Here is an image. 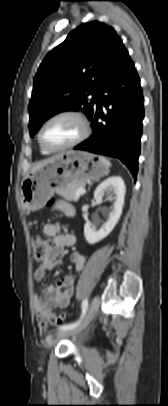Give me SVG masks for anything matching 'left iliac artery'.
Here are the masks:
<instances>
[{
    "instance_id": "obj_1",
    "label": "left iliac artery",
    "mask_w": 168,
    "mask_h": 406,
    "mask_svg": "<svg viewBox=\"0 0 168 406\" xmlns=\"http://www.w3.org/2000/svg\"><path fill=\"white\" fill-rule=\"evenodd\" d=\"M88 308V299H84L82 302V315L80 317V319L74 323H69V324H65L59 327V330H68V329H73L74 327H76L77 325H79V323L81 322V320L83 319L86 311Z\"/></svg>"
}]
</instances>
